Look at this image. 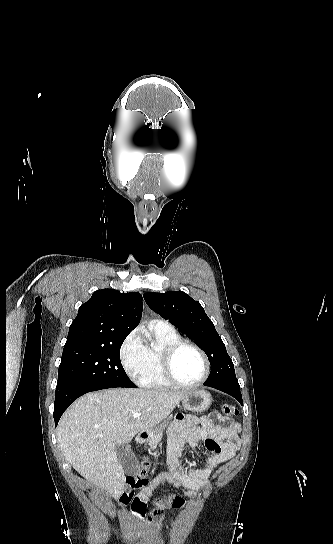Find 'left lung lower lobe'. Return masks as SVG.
I'll return each instance as SVG.
<instances>
[{"instance_id":"1","label":"left lung lower lobe","mask_w":333,"mask_h":544,"mask_svg":"<svg viewBox=\"0 0 333 544\" xmlns=\"http://www.w3.org/2000/svg\"><path fill=\"white\" fill-rule=\"evenodd\" d=\"M210 387H213L215 389H218L220 391H223V392L233 396L234 398H236L239 401V403L241 405L243 404L242 397H241V392H240V387H233V386H210Z\"/></svg>"}]
</instances>
